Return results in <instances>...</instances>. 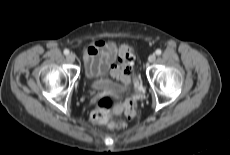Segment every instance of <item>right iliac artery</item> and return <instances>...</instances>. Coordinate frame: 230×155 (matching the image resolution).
Returning <instances> with one entry per match:
<instances>
[{"label":"right iliac artery","instance_id":"82829eb1","mask_svg":"<svg viewBox=\"0 0 230 155\" xmlns=\"http://www.w3.org/2000/svg\"><path fill=\"white\" fill-rule=\"evenodd\" d=\"M64 54H65V55H68V54H69V50H68V49H65V50H64Z\"/></svg>","mask_w":230,"mask_h":155}]
</instances>
